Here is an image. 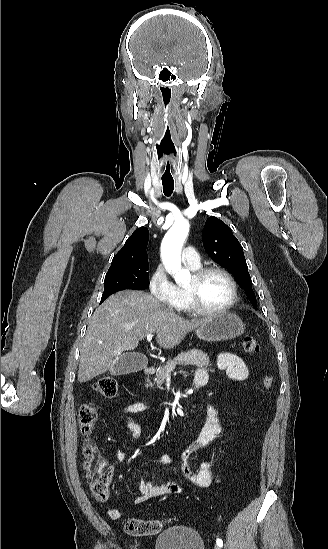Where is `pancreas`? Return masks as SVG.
<instances>
[{"label": "pancreas", "mask_w": 328, "mask_h": 549, "mask_svg": "<svg viewBox=\"0 0 328 549\" xmlns=\"http://www.w3.org/2000/svg\"><path fill=\"white\" fill-rule=\"evenodd\" d=\"M176 365H195V367H210L209 357L202 353V351H188V353H180L175 359H169L165 367H160L156 371L155 383L156 385H163L164 379H166L168 373L175 369ZM145 387H152L150 379H147V385Z\"/></svg>", "instance_id": "obj_1"}]
</instances>
